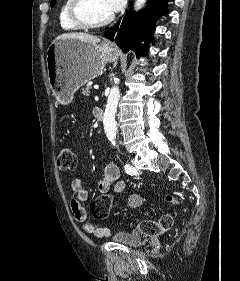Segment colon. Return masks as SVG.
Segmentation results:
<instances>
[{"instance_id": "obj_1", "label": "colon", "mask_w": 240, "mask_h": 281, "mask_svg": "<svg viewBox=\"0 0 240 281\" xmlns=\"http://www.w3.org/2000/svg\"><path fill=\"white\" fill-rule=\"evenodd\" d=\"M58 167L62 171H74L76 169V155L69 147H64L58 155ZM166 200L174 205L179 204V200L168 194ZM112 200L108 195L95 198L90 204L92 215L98 220H106L109 216ZM176 211L171 210L164 214L159 220H143L138 224V229L147 235H157L169 230L175 222Z\"/></svg>"}]
</instances>
